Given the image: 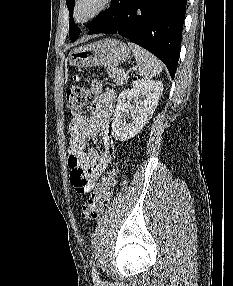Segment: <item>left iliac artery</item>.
I'll return each instance as SVG.
<instances>
[{"label":"left iliac artery","mask_w":233,"mask_h":286,"mask_svg":"<svg viewBox=\"0 0 233 286\" xmlns=\"http://www.w3.org/2000/svg\"><path fill=\"white\" fill-rule=\"evenodd\" d=\"M92 274L95 280H98V275H97V271H96V265L93 262V266H92Z\"/></svg>","instance_id":"1"}]
</instances>
